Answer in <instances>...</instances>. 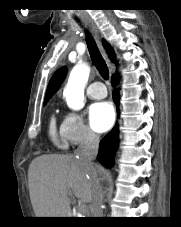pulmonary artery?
Wrapping results in <instances>:
<instances>
[{
    "label": "pulmonary artery",
    "mask_w": 181,
    "mask_h": 227,
    "mask_svg": "<svg viewBox=\"0 0 181 227\" xmlns=\"http://www.w3.org/2000/svg\"><path fill=\"white\" fill-rule=\"evenodd\" d=\"M86 93L92 99H102L106 97L107 90L102 82L96 81L87 87Z\"/></svg>",
    "instance_id": "obj_1"
}]
</instances>
